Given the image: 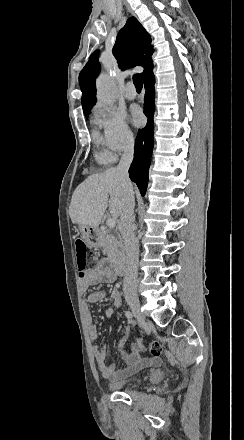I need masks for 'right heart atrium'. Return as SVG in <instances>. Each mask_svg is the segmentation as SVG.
Returning <instances> with one entry per match:
<instances>
[{
    "instance_id": "1",
    "label": "right heart atrium",
    "mask_w": 244,
    "mask_h": 440,
    "mask_svg": "<svg viewBox=\"0 0 244 440\" xmlns=\"http://www.w3.org/2000/svg\"><path fill=\"white\" fill-rule=\"evenodd\" d=\"M93 122L102 129L103 146L112 157L133 144L134 136L124 114L113 107L97 102L93 107Z\"/></svg>"
}]
</instances>
